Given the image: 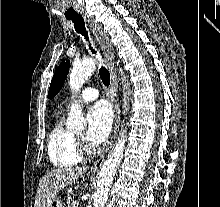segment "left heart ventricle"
Masks as SVG:
<instances>
[{
	"instance_id": "1",
	"label": "left heart ventricle",
	"mask_w": 220,
	"mask_h": 207,
	"mask_svg": "<svg viewBox=\"0 0 220 207\" xmlns=\"http://www.w3.org/2000/svg\"><path fill=\"white\" fill-rule=\"evenodd\" d=\"M76 136L84 139V132H79V133L76 134Z\"/></svg>"
}]
</instances>
